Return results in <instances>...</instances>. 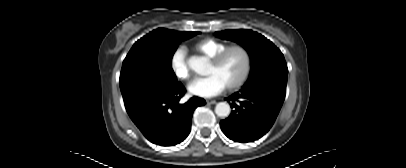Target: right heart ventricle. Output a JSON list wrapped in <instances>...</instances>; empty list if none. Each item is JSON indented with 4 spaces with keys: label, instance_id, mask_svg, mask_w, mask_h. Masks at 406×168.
Returning a JSON list of instances; mask_svg holds the SVG:
<instances>
[{
    "label": "right heart ventricle",
    "instance_id": "e07e8e85",
    "mask_svg": "<svg viewBox=\"0 0 406 168\" xmlns=\"http://www.w3.org/2000/svg\"><path fill=\"white\" fill-rule=\"evenodd\" d=\"M228 46L227 43L215 39H203L194 45V49L204 57L211 59Z\"/></svg>",
    "mask_w": 406,
    "mask_h": 168
}]
</instances>
